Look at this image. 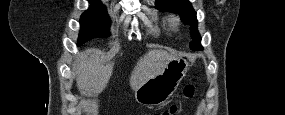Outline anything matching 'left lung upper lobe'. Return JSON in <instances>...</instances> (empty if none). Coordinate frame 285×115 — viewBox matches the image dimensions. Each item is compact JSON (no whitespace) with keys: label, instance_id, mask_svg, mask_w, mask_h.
<instances>
[{"label":"left lung upper lobe","instance_id":"obj_1","mask_svg":"<svg viewBox=\"0 0 285 115\" xmlns=\"http://www.w3.org/2000/svg\"><path fill=\"white\" fill-rule=\"evenodd\" d=\"M156 7L161 11L179 13L185 25H190V34L193 39L190 47L193 50L202 49L201 37L197 29L196 12L188 0H156Z\"/></svg>","mask_w":285,"mask_h":115}]
</instances>
